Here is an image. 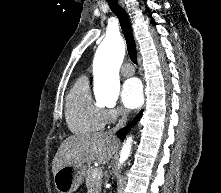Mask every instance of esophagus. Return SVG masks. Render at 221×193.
Returning <instances> with one entry per match:
<instances>
[{
	"instance_id": "34e87169",
	"label": "esophagus",
	"mask_w": 221,
	"mask_h": 193,
	"mask_svg": "<svg viewBox=\"0 0 221 193\" xmlns=\"http://www.w3.org/2000/svg\"><path fill=\"white\" fill-rule=\"evenodd\" d=\"M120 5L126 10V5L123 0H119Z\"/></svg>"
}]
</instances>
